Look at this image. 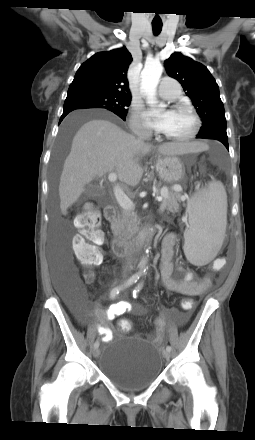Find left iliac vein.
<instances>
[{"mask_svg": "<svg viewBox=\"0 0 255 440\" xmlns=\"http://www.w3.org/2000/svg\"><path fill=\"white\" fill-rule=\"evenodd\" d=\"M163 356H164L165 359H169L170 358V351L164 350Z\"/></svg>", "mask_w": 255, "mask_h": 440, "instance_id": "1", "label": "left iliac vein"}]
</instances>
